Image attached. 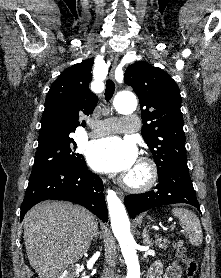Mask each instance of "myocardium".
Segmentation results:
<instances>
[{
    "mask_svg": "<svg viewBox=\"0 0 221 278\" xmlns=\"http://www.w3.org/2000/svg\"><path fill=\"white\" fill-rule=\"evenodd\" d=\"M137 163L145 169V178L141 181H131L126 175L120 178L121 186L131 192H145L150 190L158 180V167L148 157H140Z\"/></svg>",
    "mask_w": 221,
    "mask_h": 278,
    "instance_id": "1",
    "label": "myocardium"
}]
</instances>
